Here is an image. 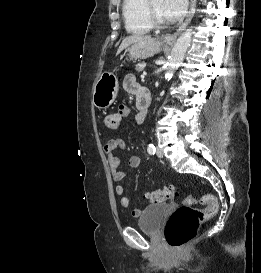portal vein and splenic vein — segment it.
<instances>
[{
    "label": "portal vein and splenic vein",
    "mask_w": 261,
    "mask_h": 273,
    "mask_svg": "<svg viewBox=\"0 0 261 273\" xmlns=\"http://www.w3.org/2000/svg\"><path fill=\"white\" fill-rule=\"evenodd\" d=\"M145 75H146V72H143V74L141 75V79H144Z\"/></svg>",
    "instance_id": "obj_1"
}]
</instances>
